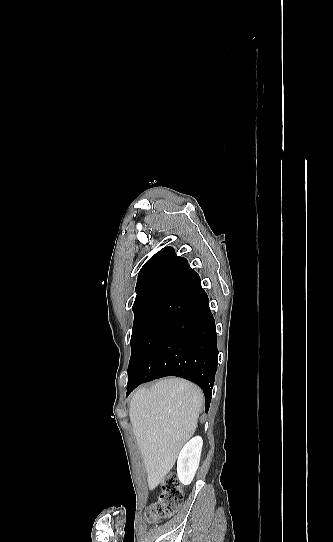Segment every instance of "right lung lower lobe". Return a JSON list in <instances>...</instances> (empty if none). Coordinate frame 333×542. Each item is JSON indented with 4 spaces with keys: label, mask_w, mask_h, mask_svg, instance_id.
<instances>
[{
    "label": "right lung lower lobe",
    "mask_w": 333,
    "mask_h": 542,
    "mask_svg": "<svg viewBox=\"0 0 333 542\" xmlns=\"http://www.w3.org/2000/svg\"><path fill=\"white\" fill-rule=\"evenodd\" d=\"M168 261L191 271L186 259L172 251ZM218 349L215 321L200 277L192 272L150 313L128 366V396L138 385L165 376H178L199 385L209 409Z\"/></svg>",
    "instance_id": "obj_1"
}]
</instances>
